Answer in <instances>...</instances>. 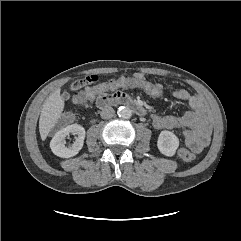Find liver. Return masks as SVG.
I'll list each match as a JSON object with an SVG mask.
<instances>
[{
	"instance_id": "6515ba94",
	"label": "liver",
	"mask_w": 241,
	"mask_h": 241,
	"mask_svg": "<svg viewBox=\"0 0 241 241\" xmlns=\"http://www.w3.org/2000/svg\"><path fill=\"white\" fill-rule=\"evenodd\" d=\"M64 105L60 89L54 91L44 102L39 119V132L43 141L60 119Z\"/></svg>"
}]
</instances>
